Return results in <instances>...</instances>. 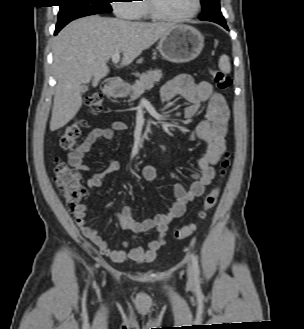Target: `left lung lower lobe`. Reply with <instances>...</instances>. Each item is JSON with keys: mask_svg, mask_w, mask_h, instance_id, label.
Returning a JSON list of instances; mask_svg holds the SVG:
<instances>
[{"mask_svg": "<svg viewBox=\"0 0 304 329\" xmlns=\"http://www.w3.org/2000/svg\"><path fill=\"white\" fill-rule=\"evenodd\" d=\"M199 19L218 23L228 30L225 19L220 11L219 0L212 2L208 7L204 8Z\"/></svg>", "mask_w": 304, "mask_h": 329, "instance_id": "left-lung-lower-lobe-1", "label": "left lung lower lobe"}]
</instances>
